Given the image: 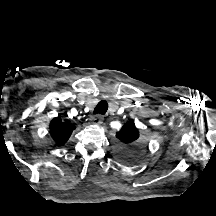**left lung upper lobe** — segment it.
Instances as JSON below:
<instances>
[{"mask_svg": "<svg viewBox=\"0 0 216 216\" xmlns=\"http://www.w3.org/2000/svg\"><path fill=\"white\" fill-rule=\"evenodd\" d=\"M116 138L119 141V151L116 153L117 158L126 164L135 163L145 148L146 142L140 138L139 129L136 127L134 121H127L117 131Z\"/></svg>", "mask_w": 216, "mask_h": 216, "instance_id": "left-lung-upper-lobe-1", "label": "left lung upper lobe"}]
</instances>
